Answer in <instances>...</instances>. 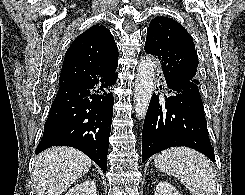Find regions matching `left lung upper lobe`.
<instances>
[{"label":"left lung upper lobe","mask_w":245,"mask_h":195,"mask_svg":"<svg viewBox=\"0 0 245 195\" xmlns=\"http://www.w3.org/2000/svg\"><path fill=\"white\" fill-rule=\"evenodd\" d=\"M144 49L157 56L163 73L169 78L199 84L195 76L198 66L195 45L177 21L162 16L154 18L148 27Z\"/></svg>","instance_id":"5c2ea615"}]
</instances>
